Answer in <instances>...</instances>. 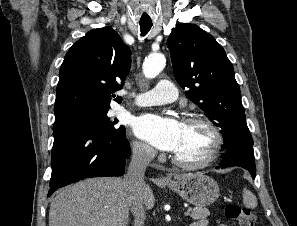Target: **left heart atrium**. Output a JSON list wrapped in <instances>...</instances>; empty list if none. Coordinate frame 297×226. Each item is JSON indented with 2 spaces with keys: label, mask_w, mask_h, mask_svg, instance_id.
<instances>
[{
  "label": "left heart atrium",
  "mask_w": 297,
  "mask_h": 226,
  "mask_svg": "<svg viewBox=\"0 0 297 226\" xmlns=\"http://www.w3.org/2000/svg\"><path fill=\"white\" fill-rule=\"evenodd\" d=\"M182 123L172 118L145 114L133 121L135 134L164 151H174L179 144Z\"/></svg>",
  "instance_id": "left-heart-atrium-1"
}]
</instances>
